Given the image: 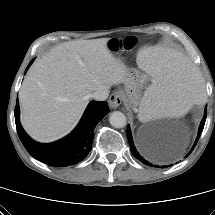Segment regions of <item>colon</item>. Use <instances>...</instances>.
<instances>
[{
    "mask_svg": "<svg viewBox=\"0 0 215 215\" xmlns=\"http://www.w3.org/2000/svg\"><path fill=\"white\" fill-rule=\"evenodd\" d=\"M136 39L134 37H127L121 39L119 37H112L108 41V48L112 52H121L123 54H130L134 50Z\"/></svg>",
    "mask_w": 215,
    "mask_h": 215,
    "instance_id": "obj_1",
    "label": "colon"
}]
</instances>
